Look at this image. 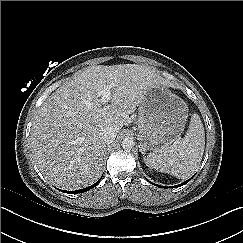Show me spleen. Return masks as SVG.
<instances>
[{"label": "spleen", "instance_id": "spleen-1", "mask_svg": "<svg viewBox=\"0 0 243 243\" xmlns=\"http://www.w3.org/2000/svg\"><path fill=\"white\" fill-rule=\"evenodd\" d=\"M204 147L203 124L197 114H192L186 135L176 139L172 145L150 153L145 163L161 172L172 174L179 179H186L199 168Z\"/></svg>", "mask_w": 243, "mask_h": 243}]
</instances>
